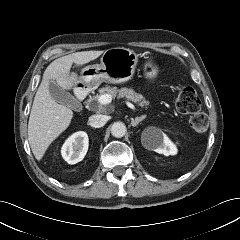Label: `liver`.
<instances>
[{
  "label": "liver",
  "instance_id": "obj_1",
  "mask_svg": "<svg viewBox=\"0 0 240 240\" xmlns=\"http://www.w3.org/2000/svg\"><path fill=\"white\" fill-rule=\"evenodd\" d=\"M102 53L103 51H82L69 54L54 60L44 71L28 122V141L38 161L43 158L50 144L68 128L73 118L70 108L58 104L51 97L49 82L55 80L63 89H74L81 80L76 73H70L72 64L84 65Z\"/></svg>",
  "mask_w": 240,
  "mask_h": 240
}]
</instances>
